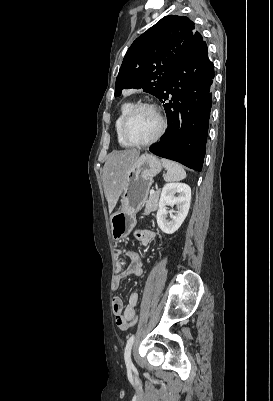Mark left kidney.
I'll return each mask as SVG.
<instances>
[{"instance_id": "obj_1", "label": "left kidney", "mask_w": 273, "mask_h": 401, "mask_svg": "<svg viewBox=\"0 0 273 401\" xmlns=\"http://www.w3.org/2000/svg\"><path fill=\"white\" fill-rule=\"evenodd\" d=\"M178 192L177 196H175ZM191 201V188L185 182H167L164 184L159 201V209L157 211L156 219L157 225L163 233L172 235L178 231L183 221H185ZM166 205L174 207L176 205L177 211H167ZM168 213H176L167 221L166 215Z\"/></svg>"}]
</instances>
